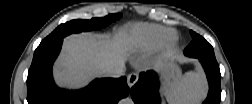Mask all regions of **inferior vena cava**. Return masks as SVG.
Listing matches in <instances>:
<instances>
[{
  "instance_id": "602c4592",
  "label": "inferior vena cava",
  "mask_w": 252,
  "mask_h": 104,
  "mask_svg": "<svg viewBox=\"0 0 252 104\" xmlns=\"http://www.w3.org/2000/svg\"><path fill=\"white\" fill-rule=\"evenodd\" d=\"M103 72L108 77L118 78L125 74V65L123 63H118L114 66L105 68Z\"/></svg>"
}]
</instances>
